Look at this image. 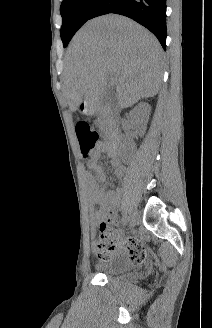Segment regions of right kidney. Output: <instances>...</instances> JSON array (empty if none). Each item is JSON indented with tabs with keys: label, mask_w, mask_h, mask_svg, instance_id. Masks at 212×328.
Returning a JSON list of instances; mask_svg holds the SVG:
<instances>
[{
	"label": "right kidney",
	"mask_w": 212,
	"mask_h": 328,
	"mask_svg": "<svg viewBox=\"0 0 212 328\" xmlns=\"http://www.w3.org/2000/svg\"><path fill=\"white\" fill-rule=\"evenodd\" d=\"M151 112V106L146 102H141L129 113V120L136 131L143 135Z\"/></svg>",
	"instance_id": "obj_1"
}]
</instances>
